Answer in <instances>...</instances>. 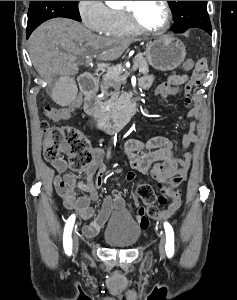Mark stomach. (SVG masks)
<instances>
[{
  "label": "stomach",
  "instance_id": "0dacf381",
  "mask_svg": "<svg viewBox=\"0 0 237 300\" xmlns=\"http://www.w3.org/2000/svg\"><path fill=\"white\" fill-rule=\"evenodd\" d=\"M145 57L157 71H174L180 67L186 57V47L182 41L163 35L147 45Z\"/></svg>",
  "mask_w": 237,
  "mask_h": 300
}]
</instances>
